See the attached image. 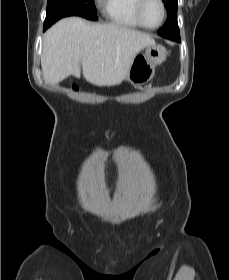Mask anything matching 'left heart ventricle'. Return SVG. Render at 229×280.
Segmentation results:
<instances>
[{"label":"left heart ventricle","instance_id":"b2bd125f","mask_svg":"<svg viewBox=\"0 0 229 280\" xmlns=\"http://www.w3.org/2000/svg\"><path fill=\"white\" fill-rule=\"evenodd\" d=\"M143 16L145 22L150 26L157 25L162 17V10L159 3L156 0H148L144 11Z\"/></svg>","mask_w":229,"mask_h":280}]
</instances>
